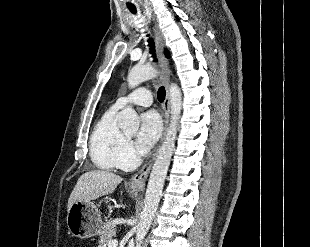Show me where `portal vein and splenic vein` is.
<instances>
[{
  "mask_svg": "<svg viewBox=\"0 0 310 247\" xmlns=\"http://www.w3.org/2000/svg\"><path fill=\"white\" fill-rule=\"evenodd\" d=\"M118 246V241L117 240H111L108 243V247H117Z\"/></svg>",
  "mask_w": 310,
  "mask_h": 247,
  "instance_id": "obj_1",
  "label": "portal vein and splenic vein"
}]
</instances>
